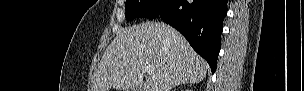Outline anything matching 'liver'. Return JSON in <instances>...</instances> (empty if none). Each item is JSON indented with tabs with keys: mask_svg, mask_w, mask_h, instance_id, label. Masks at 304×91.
Listing matches in <instances>:
<instances>
[{
	"mask_svg": "<svg viewBox=\"0 0 304 91\" xmlns=\"http://www.w3.org/2000/svg\"><path fill=\"white\" fill-rule=\"evenodd\" d=\"M145 66L153 69L143 91H170L202 81L208 64L174 28L163 22H145L117 33L98 66L95 90L136 91Z\"/></svg>",
	"mask_w": 304,
	"mask_h": 91,
	"instance_id": "liver-1",
	"label": "liver"
}]
</instances>
